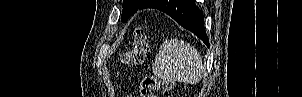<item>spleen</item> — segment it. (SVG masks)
Listing matches in <instances>:
<instances>
[{"label":"spleen","mask_w":302,"mask_h":97,"mask_svg":"<svg viewBox=\"0 0 302 97\" xmlns=\"http://www.w3.org/2000/svg\"><path fill=\"white\" fill-rule=\"evenodd\" d=\"M153 73L163 80L194 84L202 79L204 68L198 51L175 38L161 45Z\"/></svg>","instance_id":"obj_1"}]
</instances>
